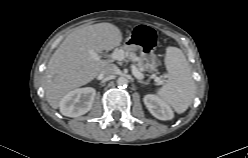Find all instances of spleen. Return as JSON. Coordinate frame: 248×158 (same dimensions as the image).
Here are the masks:
<instances>
[{"label": "spleen", "mask_w": 248, "mask_h": 158, "mask_svg": "<svg viewBox=\"0 0 248 158\" xmlns=\"http://www.w3.org/2000/svg\"><path fill=\"white\" fill-rule=\"evenodd\" d=\"M165 65L168 71L166 83L157 94L177 113L185 112L192 104L196 85L184 53L176 47L166 49Z\"/></svg>", "instance_id": "1"}]
</instances>
